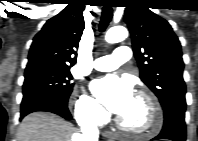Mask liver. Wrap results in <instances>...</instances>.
<instances>
[{"instance_id": "1", "label": "liver", "mask_w": 198, "mask_h": 141, "mask_svg": "<svg viewBox=\"0 0 198 141\" xmlns=\"http://www.w3.org/2000/svg\"><path fill=\"white\" fill-rule=\"evenodd\" d=\"M76 129L61 117L35 112L21 122L17 141H78Z\"/></svg>"}]
</instances>
